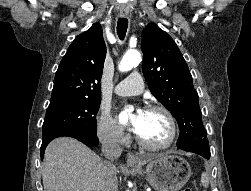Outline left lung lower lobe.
Here are the masks:
<instances>
[{
	"instance_id": "left-lung-lower-lobe-1",
	"label": "left lung lower lobe",
	"mask_w": 251,
	"mask_h": 191,
	"mask_svg": "<svg viewBox=\"0 0 251 191\" xmlns=\"http://www.w3.org/2000/svg\"><path fill=\"white\" fill-rule=\"evenodd\" d=\"M178 149L199 154L207 159L210 158V152H207L201 145H184Z\"/></svg>"
}]
</instances>
